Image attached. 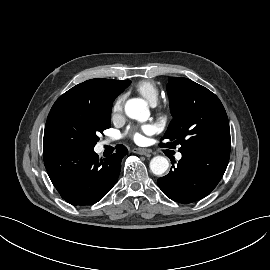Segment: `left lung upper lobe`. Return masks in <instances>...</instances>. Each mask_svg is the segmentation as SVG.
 Here are the masks:
<instances>
[{"label":"left lung upper lobe","instance_id":"obj_1","mask_svg":"<svg viewBox=\"0 0 270 270\" xmlns=\"http://www.w3.org/2000/svg\"><path fill=\"white\" fill-rule=\"evenodd\" d=\"M167 91L173 116L164 135L181 153L216 152L230 155L231 139L226 111L219 98L187 78H169Z\"/></svg>","mask_w":270,"mask_h":270}]
</instances>
